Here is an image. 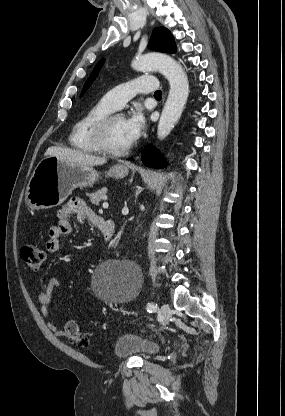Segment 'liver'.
<instances>
[{
  "instance_id": "6515ba94",
  "label": "liver",
  "mask_w": 285,
  "mask_h": 416,
  "mask_svg": "<svg viewBox=\"0 0 285 416\" xmlns=\"http://www.w3.org/2000/svg\"><path fill=\"white\" fill-rule=\"evenodd\" d=\"M44 156H56L59 160H65V162H70V164H81V166H103L107 162L106 158L92 156L89 152L70 150V148H56V146L48 148Z\"/></svg>"
}]
</instances>
